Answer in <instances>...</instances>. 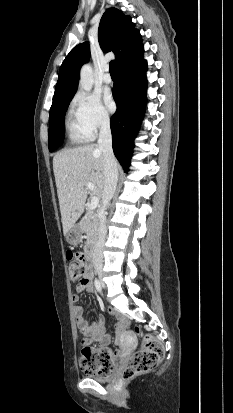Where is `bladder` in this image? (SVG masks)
I'll return each mask as SVG.
<instances>
[{"mask_svg":"<svg viewBox=\"0 0 233 413\" xmlns=\"http://www.w3.org/2000/svg\"><path fill=\"white\" fill-rule=\"evenodd\" d=\"M112 376L113 374L111 372L106 375H100L96 373H90L87 375L88 378L93 379L95 381H99V382H107L111 380Z\"/></svg>","mask_w":233,"mask_h":413,"instance_id":"obj_1","label":"bladder"}]
</instances>
